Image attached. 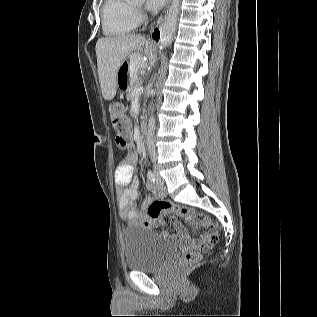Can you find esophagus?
<instances>
[{
    "label": "esophagus",
    "mask_w": 317,
    "mask_h": 317,
    "mask_svg": "<svg viewBox=\"0 0 317 317\" xmlns=\"http://www.w3.org/2000/svg\"><path fill=\"white\" fill-rule=\"evenodd\" d=\"M151 36L156 42L163 41L162 26L159 25V23L153 28V30L151 32Z\"/></svg>",
    "instance_id": "obj_1"
}]
</instances>
